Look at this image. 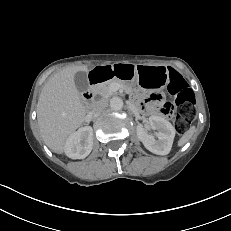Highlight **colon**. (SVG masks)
Segmentation results:
<instances>
[{"label":"colon","mask_w":231,"mask_h":231,"mask_svg":"<svg viewBox=\"0 0 231 231\" xmlns=\"http://www.w3.org/2000/svg\"><path fill=\"white\" fill-rule=\"evenodd\" d=\"M169 93L174 96V103L156 100L153 107L163 114L174 113V125L178 134H185L195 118V94L185 79L173 72L170 76ZM153 96L152 99H155Z\"/></svg>","instance_id":"colon-1"}]
</instances>
